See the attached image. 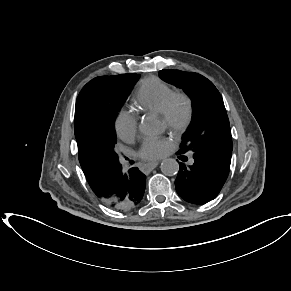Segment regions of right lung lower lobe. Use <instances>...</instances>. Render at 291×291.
I'll return each instance as SVG.
<instances>
[{
  "label": "right lung lower lobe",
  "mask_w": 291,
  "mask_h": 291,
  "mask_svg": "<svg viewBox=\"0 0 291 291\" xmlns=\"http://www.w3.org/2000/svg\"><path fill=\"white\" fill-rule=\"evenodd\" d=\"M108 195L102 199L109 207L118 211H127L137 206L145 192L146 176L133 167L127 173L117 162L105 174Z\"/></svg>",
  "instance_id": "98d812e1"
}]
</instances>
